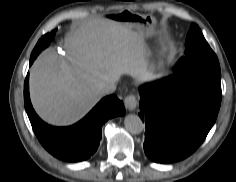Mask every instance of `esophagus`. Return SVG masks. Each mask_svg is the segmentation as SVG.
Instances as JSON below:
<instances>
[{
	"instance_id": "esophagus-1",
	"label": "esophagus",
	"mask_w": 236,
	"mask_h": 182,
	"mask_svg": "<svg viewBox=\"0 0 236 182\" xmlns=\"http://www.w3.org/2000/svg\"><path fill=\"white\" fill-rule=\"evenodd\" d=\"M124 104L126 109H128L129 111H134L138 106V100L136 95L134 94L128 95L124 100Z\"/></svg>"
}]
</instances>
